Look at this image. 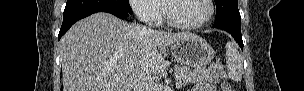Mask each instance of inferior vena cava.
I'll return each mask as SVG.
<instances>
[{
    "label": "inferior vena cava",
    "mask_w": 304,
    "mask_h": 91,
    "mask_svg": "<svg viewBox=\"0 0 304 91\" xmlns=\"http://www.w3.org/2000/svg\"><path fill=\"white\" fill-rule=\"evenodd\" d=\"M134 91H154V83L151 75L141 73L134 81Z\"/></svg>",
    "instance_id": "1"
}]
</instances>
